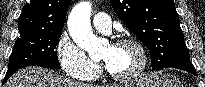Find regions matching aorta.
<instances>
[{
	"label": "aorta",
	"mask_w": 205,
	"mask_h": 87,
	"mask_svg": "<svg viewBox=\"0 0 205 87\" xmlns=\"http://www.w3.org/2000/svg\"><path fill=\"white\" fill-rule=\"evenodd\" d=\"M92 6L88 1L75 5L68 17V30L73 41L89 54L100 51L103 41L97 38L90 26Z\"/></svg>",
	"instance_id": "1"
}]
</instances>
